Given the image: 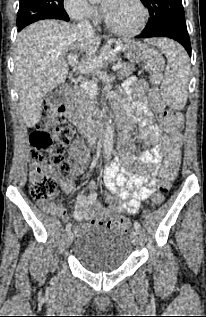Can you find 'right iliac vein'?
<instances>
[{
    "label": "right iliac vein",
    "instance_id": "obj_1",
    "mask_svg": "<svg viewBox=\"0 0 206 317\" xmlns=\"http://www.w3.org/2000/svg\"><path fill=\"white\" fill-rule=\"evenodd\" d=\"M72 241H73V233L71 231H68L65 238L66 246L67 247L70 246Z\"/></svg>",
    "mask_w": 206,
    "mask_h": 317
}]
</instances>
